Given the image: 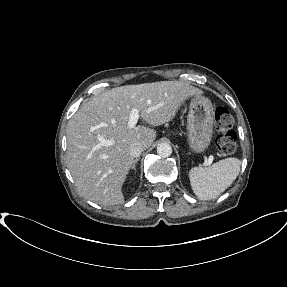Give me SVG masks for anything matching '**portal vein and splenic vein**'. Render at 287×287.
Instances as JSON below:
<instances>
[{
	"mask_svg": "<svg viewBox=\"0 0 287 287\" xmlns=\"http://www.w3.org/2000/svg\"><path fill=\"white\" fill-rule=\"evenodd\" d=\"M138 119H139V112H138V110L137 109H132L131 113H130V116H129V120H128L129 128H133L137 124ZM101 142H102L103 145H110L112 143L111 141L104 140V139H101ZM212 160H213V157L210 156L209 161L207 162V165H210L212 163Z\"/></svg>",
	"mask_w": 287,
	"mask_h": 287,
	"instance_id": "obj_1",
	"label": "portal vein and splenic vein"
}]
</instances>
